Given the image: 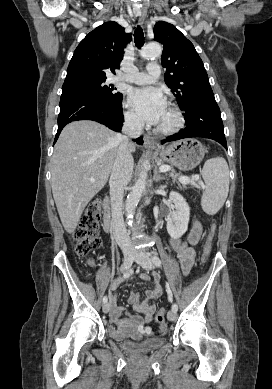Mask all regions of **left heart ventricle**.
I'll use <instances>...</instances> for the list:
<instances>
[{
  "mask_svg": "<svg viewBox=\"0 0 272 389\" xmlns=\"http://www.w3.org/2000/svg\"><path fill=\"white\" fill-rule=\"evenodd\" d=\"M172 121V114L169 111V109H166L161 121L159 122L158 126H165L168 125Z\"/></svg>",
  "mask_w": 272,
  "mask_h": 389,
  "instance_id": "obj_1",
  "label": "left heart ventricle"
}]
</instances>
